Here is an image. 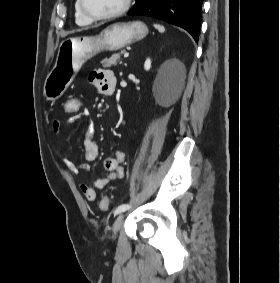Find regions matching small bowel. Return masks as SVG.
<instances>
[{
    "label": "small bowel",
    "instance_id": "obj_1",
    "mask_svg": "<svg viewBox=\"0 0 280 283\" xmlns=\"http://www.w3.org/2000/svg\"><path fill=\"white\" fill-rule=\"evenodd\" d=\"M90 81L99 89L101 93L109 94L113 91L115 79L112 71L101 69L94 71L90 76ZM71 117L67 122H76L88 119L90 112L88 109H82V112H70ZM64 122L58 119L53 120L52 129L54 132L62 130ZM82 144L84 148L85 162L77 163L69 158H64L63 163L66 168L73 174L80 172H88L90 170V162L96 160L98 156V146L93 140L91 128L88 127L82 135ZM125 162V154L121 150H116L114 155L106 157L103 162V167L107 174L104 177L98 178L93 185L81 183L80 189L85 198L89 201L96 199V191L105 188L108 184L115 180H120L124 176L123 164Z\"/></svg>",
    "mask_w": 280,
    "mask_h": 283
}]
</instances>
